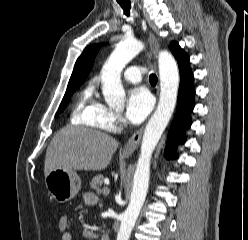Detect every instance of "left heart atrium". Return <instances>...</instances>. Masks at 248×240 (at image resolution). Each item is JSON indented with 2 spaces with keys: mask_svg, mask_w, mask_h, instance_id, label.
I'll use <instances>...</instances> for the list:
<instances>
[{
  "mask_svg": "<svg viewBox=\"0 0 248 240\" xmlns=\"http://www.w3.org/2000/svg\"><path fill=\"white\" fill-rule=\"evenodd\" d=\"M153 107V98L150 92L142 86L129 91L126 104V117L133 124L141 123Z\"/></svg>",
  "mask_w": 248,
  "mask_h": 240,
  "instance_id": "left-heart-atrium-1",
  "label": "left heart atrium"
}]
</instances>
